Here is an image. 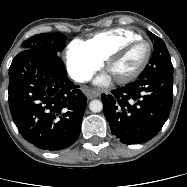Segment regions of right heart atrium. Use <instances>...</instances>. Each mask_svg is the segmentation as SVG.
<instances>
[{"instance_id":"d8ad5b80","label":"right heart atrium","mask_w":187,"mask_h":187,"mask_svg":"<svg viewBox=\"0 0 187 187\" xmlns=\"http://www.w3.org/2000/svg\"><path fill=\"white\" fill-rule=\"evenodd\" d=\"M99 59L81 40H73L66 50V65L70 75L79 82L88 80L100 67Z\"/></svg>"}]
</instances>
